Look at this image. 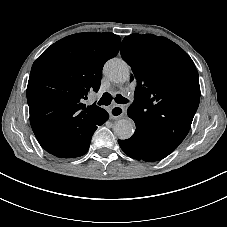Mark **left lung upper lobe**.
I'll use <instances>...</instances> for the list:
<instances>
[{
    "label": "left lung upper lobe",
    "instance_id": "left-lung-upper-lobe-1",
    "mask_svg": "<svg viewBox=\"0 0 227 227\" xmlns=\"http://www.w3.org/2000/svg\"><path fill=\"white\" fill-rule=\"evenodd\" d=\"M121 56L136 79L128 116L136 130L175 150L189 132L200 101L198 72L189 55L165 37L131 34Z\"/></svg>",
    "mask_w": 227,
    "mask_h": 227
}]
</instances>
